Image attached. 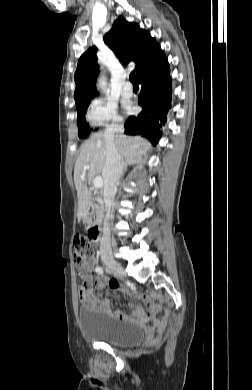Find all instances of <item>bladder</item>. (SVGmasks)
<instances>
[{"label":"bladder","instance_id":"obj_1","mask_svg":"<svg viewBox=\"0 0 252 390\" xmlns=\"http://www.w3.org/2000/svg\"><path fill=\"white\" fill-rule=\"evenodd\" d=\"M79 320L81 333L87 340L130 348L144 338V329L134 322L108 318L101 314L91 315L84 311L80 312Z\"/></svg>","mask_w":252,"mask_h":390}]
</instances>
